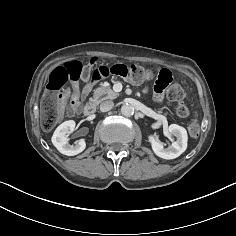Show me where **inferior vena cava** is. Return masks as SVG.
<instances>
[{
	"label": "inferior vena cava",
	"mask_w": 236,
	"mask_h": 236,
	"mask_svg": "<svg viewBox=\"0 0 236 236\" xmlns=\"http://www.w3.org/2000/svg\"><path fill=\"white\" fill-rule=\"evenodd\" d=\"M113 107H114V102L111 100H107V101H104L103 103H101L100 110L102 112H107V111L111 110Z\"/></svg>",
	"instance_id": "602c4592"
}]
</instances>
